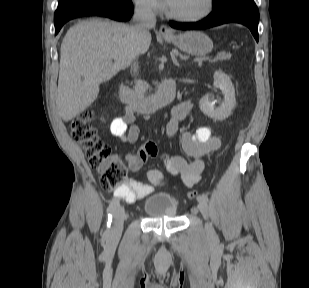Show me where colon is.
Returning <instances> with one entry per match:
<instances>
[{"instance_id": "5ec220e1", "label": "colon", "mask_w": 309, "mask_h": 288, "mask_svg": "<svg viewBox=\"0 0 309 288\" xmlns=\"http://www.w3.org/2000/svg\"><path fill=\"white\" fill-rule=\"evenodd\" d=\"M94 118L95 113L91 109L79 113L71 122V136L84 150L89 166L99 173L101 187L106 191H115L125 186L127 169L111 155L110 147L98 136L93 126ZM198 195L196 190H190L187 194L191 200L197 199Z\"/></svg>"}]
</instances>
